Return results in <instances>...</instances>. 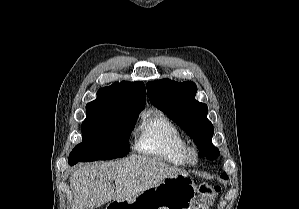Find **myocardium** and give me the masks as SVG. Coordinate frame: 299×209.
Masks as SVG:
<instances>
[{
  "instance_id": "1",
  "label": "myocardium",
  "mask_w": 299,
  "mask_h": 209,
  "mask_svg": "<svg viewBox=\"0 0 299 209\" xmlns=\"http://www.w3.org/2000/svg\"><path fill=\"white\" fill-rule=\"evenodd\" d=\"M186 162L190 165H196L199 162L200 156H199V150L194 145H188L186 149Z\"/></svg>"
}]
</instances>
